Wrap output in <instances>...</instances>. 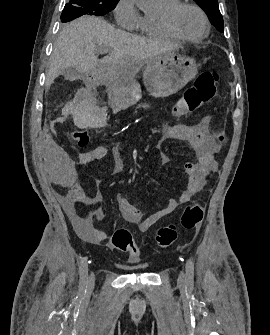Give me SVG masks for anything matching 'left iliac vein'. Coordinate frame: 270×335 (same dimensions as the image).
<instances>
[{
  "instance_id": "obj_1",
  "label": "left iliac vein",
  "mask_w": 270,
  "mask_h": 335,
  "mask_svg": "<svg viewBox=\"0 0 270 335\" xmlns=\"http://www.w3.org/2000/svg\"><path fill=\"white\" fill-rule=\"evenodd\" d=\"M185 284H186V275H185V273L182 271V272H180V274H179V276H178V285H179L180 287H183V286H185Z\"/></svg>"
}]
</instances>
